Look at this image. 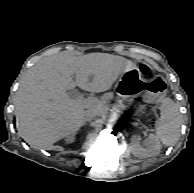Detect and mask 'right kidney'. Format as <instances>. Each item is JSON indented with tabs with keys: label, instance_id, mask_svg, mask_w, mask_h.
Here are the masks:
<instances>
[{
	"label": "right kidney",
	"instance_id": "obj_1",
	"mask_svg": "<svg viewBox=\"0 0 194 193\" xmlns=\"http://www.w3.org/2000/svg\"><path fill=\"white\" fill-rule=\"evenodd\" d=\"M69 141H73V139H69Z\"/></svg>",
	"mask_w": 194,
	"mask_h": 193
}]
</instances>
